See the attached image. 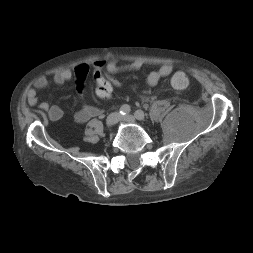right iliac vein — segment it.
I'll return each mask as SVG.
<instances>
[{
    "label": "right iliac vein",
    "instance_id": "right-iliac-vein-1",
    "mask_svg": "<svg viewBox=\"0 0 253 253\" xmlns=\"http://www.w3.org/2000/svg\"><path fill=\"white\" fill-rule=\"evenodd\" d=\"M120 119V114L117 112L111 113L108 115L107 119H106V126L107 128H111L113 126H115V124L117 123V121Z\"/></svg>",
    "mask_w": 253,
    "mask_h": 253
}]
</instances>
